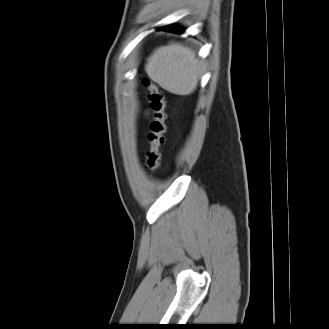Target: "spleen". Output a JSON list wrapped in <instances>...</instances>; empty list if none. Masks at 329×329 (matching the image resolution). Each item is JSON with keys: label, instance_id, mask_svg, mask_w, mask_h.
<instances>
[{"label": "spleen", "instance_id": "obj_1", "mask_svg": "<svg viewBox=\"0 0 329 329\" xmlns=\"http://www.w3.org/2000/svg\"><path fill=\"white\" fill-rule=\"evenodd\" d=\"M148 76L163 89L177 95H189L196 89L202 63L195 52L181 44L157 48L145 65Z\"/></svg>", "mask_w": 329, "mask_h": 329}]
</instances>
